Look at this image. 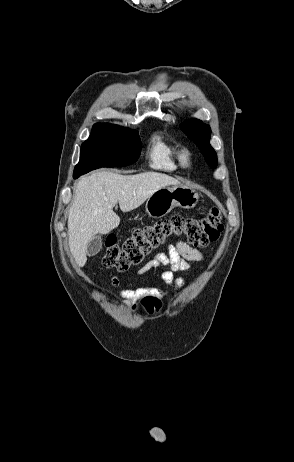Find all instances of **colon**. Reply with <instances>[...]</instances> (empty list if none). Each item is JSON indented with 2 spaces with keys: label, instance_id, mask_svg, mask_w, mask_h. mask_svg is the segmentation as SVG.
<instances>
[{
  "label": "colon",
  "instance_id": "colon-1",
  "mask_svg": "<svg viewBox=\"0 0 294 462\" xmlns=\"http://www.w3.org/2000/svg\"><path fill=\"white\" fill-rule=\"evenodd\" d=\"M222 215L218 208L210 209L200 218L174 216L136 229L130 238L119 245L114 236L107 240L102 263L108 269L126 271L138 265L144 257L170 238L182 237L195 247H206L215 242L223 231ZM144 304L149 310L159 306L153 296H147Z\"/></svg>",
  "mask_w": 294,
  "mask_h": 462
}]
</instances>
